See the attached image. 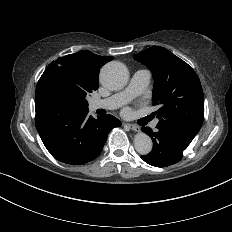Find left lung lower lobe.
Here are the masks:
<instances>
[{
  "mask_svg": "<svg viewBox=\"0 0 232 232\" xmlns=\"http://www.w3.org/2000/svg\"><path fill=\"white\" fill-rule=\"evenodd\" d=\"M156 128V131L149 127L141 128L153 141L152 151L147 155L141 156V158L155 167H167L179 162L190 141L164 127L157 125Z\"/></svg>",
  "mask_w": 232,
  "mask_h": 232,
  "instance_id": "left-lung-lower-lobe-1",
  "label": "left lung lower lobe"
}]
</instances>
